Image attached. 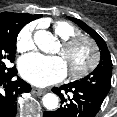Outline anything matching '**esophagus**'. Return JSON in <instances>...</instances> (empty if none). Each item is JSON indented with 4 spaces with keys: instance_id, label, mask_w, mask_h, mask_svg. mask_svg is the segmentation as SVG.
<instances>
[{
    "instance_id": "esophagus-1",
    "label": "esophagus",
    "mask_w": 117,
    "mask_h": 117,
    "mask_svg": "<svg viewBox=\"0 0 117 117\" xmlns=\"http://www.w3.org/2000/svg\"><path fill=\"white\" fill-rule=\"evenodd\" d=\"M34 93H36L37 95H43L46 93V90H42V89H38V88H33L32 89Z\"/></svg>"
}]
</instances>
